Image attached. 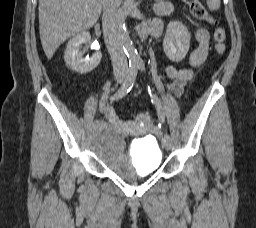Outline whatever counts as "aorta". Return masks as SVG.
I'll return each instance as SVG.
<instances>
[{"instance_id":"1","label":"aorta","mask_w":256,"mask_h":228,"mask_svg":"<svg viewBox=\"0 0 256 228\" xmlns=\"http://www.w3.org/2000/svg\"><path fill=\"white\" fill-rule=\"evenodd\" d=\"M134 6L135 0H124L122 7L120 8L117 14L119 37L131 66H136L142 63V60L135 46L133 45V42L125 26L126 18L131 13Z\"/></svg>"}]
</instances>
